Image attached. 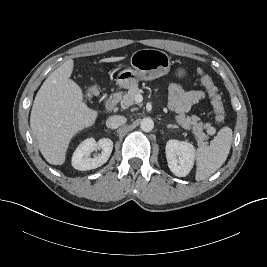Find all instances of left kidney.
<instances>
[{
  "mask_svg": "<svg viewBox=\"0 0 267 267\" xmlns=\"http://www.w3.org/2000/svg\"><path fill=\"white\" fill-rule=\"evenodd\" d=\"M166 158L168 167L178 177L189 174L194 165L195 147L186 141L169 140L166 143Z\"/></svg>",
  "mask_w": 267,
  "mask_h": 267,
  "instance_id": "1",
  "label": "left kidney"
}]
</instances>
